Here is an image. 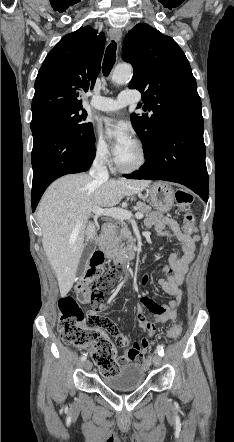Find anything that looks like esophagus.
<instances>
[{
  "label": "esophagus",
  "mask_w": 234,
  "mask_h": 442,
  "mask_svg": "<svg viewBox=\"0 0 234 442\" xmlns=\"http://www.w3.org/2000/svg\"><path fill=\"white\" fill-rule=\"evenodd\" d=\"M110 36L115 38L116 41H119L122 36V32L120 29H111Z\"/></svg>",
  "instance_id": "obj_1"
}]
</instances>
